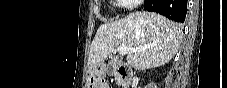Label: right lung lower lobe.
<instances>
[{
  "label": "right lung lower lobe",
  "mask_w": 227,
  "mask_h": 88,
  "mask_svg": "<svg viewBox=\"0 0 227 88\" xmlns=\"http://www.w3.org/2000/svg\"><path fill=\"white\" fill-rule=\"evenodd\" d=\"M148 11L160 13L176 22H184L186 17L187 0H145Z\"/></svg>",
  "instance_id": "98d812e1"
}]
</instances>
